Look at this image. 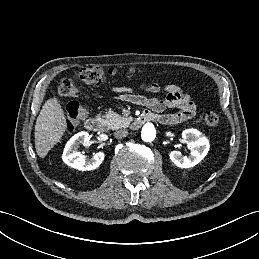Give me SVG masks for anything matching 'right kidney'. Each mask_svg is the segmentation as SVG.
Masks as SVG:
<instances>
[{
  "instance_id": "right-kidney-1",
  "label": "right kidney",
  "mask_w": 259,
  "mask_h": 259,
  "mask_svg": "<svg viewBox=\"0 0 259 259\" xmlns=\"http://www.w3.org/2000/svg\"><path fill=\"white\" fill-rule=\"evenodd\" d=\"M89 140L88 132L82 131L75 134L66 144L62 159L67 165L78 169L80 171L94 170L100 166L104 160L105 154L98 152L88 161L86 157L80 152H77V148L80 144H85Z\"/></svg>"
}]
</instances>
